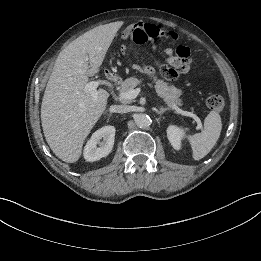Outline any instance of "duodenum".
<instances>
[{
	"label": "duodenum",
	"instance_id": "410a0bca",
	"mask_svg": "<svg viewBox=\"0 0 261 261\" xmlns=\"http://www.w3.org/2000/svg\"><path fill=\"white\" fill-rule=\"evenodd\" d=\"M106 78L111 82H117L118 81V76L116 74L112 73V72H107Z\"/></svg>",
	"mask_w": 261,
	"mask_h": 261
}]
</instances>
